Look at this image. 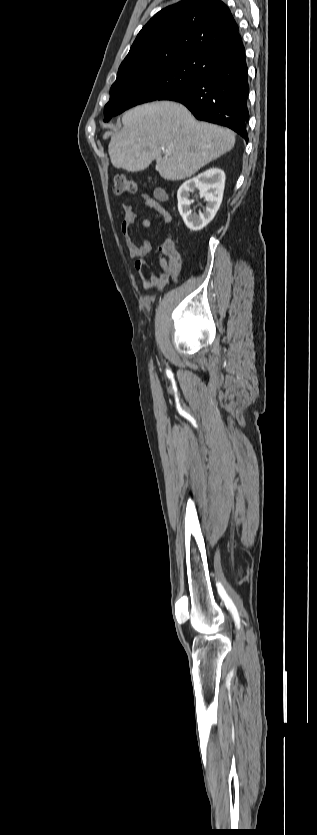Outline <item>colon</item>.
Here are the masks:
<instances>
[{
	"mask_svg": "<svg viewBox=\"0 0 317 835\" xmlns=\"http://www.w3.org/2000/svg\"><path fill=\"white\" fill-rule=\"evenodd\" d=\"M113 192L117 195L124 193H135L137 191V184L135 181L123 174H118L113 178ZM163 249L171 254L176 253L175 248L171 242H167Z\"/></svg>",
	"mask_w": 317,
	"mask_h": 835,
	"instance_id": "obj_1",
	"label": "colon"
}]
</instances>
